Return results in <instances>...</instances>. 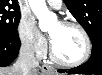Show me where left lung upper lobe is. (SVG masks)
I'll return each instance as SVG.
<instances>
[{
  "label": "left lung upper lobe",
  "instance_id": "5c2ea615",
  "mask_svg": "<svg viewBox=\"0 0 102 75\" xmlns=\"http://www.w3.org/2000/svg\"><path fill=\"white\" fill-rule=\"evenodd\" d=\"M74 18L85 28L91 42L102 40V1L64 0Z\"/></svg>",
  "mask_w": 102,
  "mask_h": 75
}]
</instances>
